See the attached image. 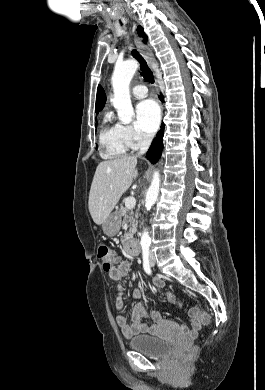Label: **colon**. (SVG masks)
<instances>
[{
	"instance_id": "colon-1",
	"label": "colon",
	"mask_w": 265,
	"mask_h": 390,
	"mask_svg": "<svg viewBox=\"0 0 265 390\" xmlns=\"http://www.w3.org/2000/svg\"><path fill=\"white\" fill-rule=\"evenodd\" d=\"M98 257L105 271L109 272L111 269L114 268V264L116 262L115 255L105 243L99 244ZM167 300L171 304H177V297L171 292L167 293ZM189 314L193 319L199 320L204 325H207L209 323V315L203 310L197 308H190ZM195 351L196 348L193 347L186 355V359L191 358L194 355Z\"/></svg>"
}]
</instances>
